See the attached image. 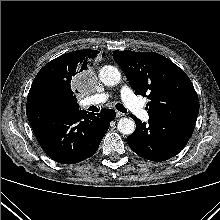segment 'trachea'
Returning <instances> with one entry per match:
<instances>
[{"instance_id":"1","label":"trachea","mask_w":220,"mask_h":220,"mask_svg":"<svg viewBox=\"0 0 220 220\" xmlns=\"http://www.w3.org/2000/svg\"><path fill=\"white\" fill-rule=\"evenodd\" d=\"M115 107H116V109H117L118 111H120V112H122V113H126V112H127L126 108H125L122 104H120V103H117V104L115 105ZM95 108L98 110L97 107H95Z\"/></svg>"}]
</instances>
